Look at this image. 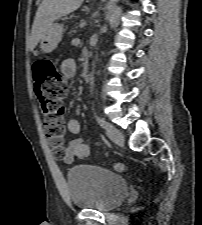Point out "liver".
Returning <instances> with one entry per match:
<instances>
[{"instance_id": "1", "label": "liver", "mask_w": 202, "mask_h": 225, "mask_svg": "<svg viewBox=\"0 0 202 225\" xmlns=\"http://www.w3.org/2000/svg\"><path fill=\"white\" fill-rule=\"evenodd\" d=\"M83 0H43L35 15L30 37V49L33 50L44 32L57 19L76 11Z\"/></svg>"}]
</instances>
